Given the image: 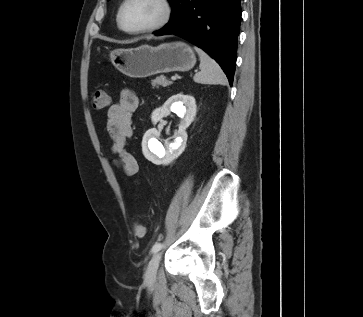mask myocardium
<instances>
[{
	"label": "myocardium",
	"mask_w": 363,
	"mask_h": 317,
	"mask_svg": "<svg viewBox=\"0 0 363 317\" xmlns=\"http://www.w3.org/2000/svg\"><path fill=\"white\" fill-rule=\"evenodd\" d=\"M130 1L131 0H123L119 6V9L117 12V24H118L119 28L122 31H124L125 33L133 34V35H141V34H147V33H152V32L158 31V30L164 28L169 23V21L172 17L173 8H172V4H171L170 0H157L162 7V15H161L160 19L158 21H156L155 23H153L149 26L140 28V29H128L123 25V12H124L126 5Z\"/></svg>",
	"instance_id": "myocardium-1"
}]
</instances>
